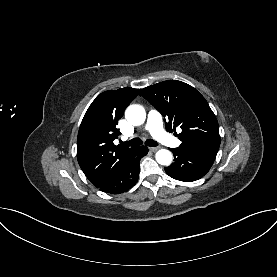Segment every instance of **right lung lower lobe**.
I'll return each instance as SVG.
<instances>
[{"label": "right lung lower lobe", "mask_w": 277, "mask_h": 277, "mask_svg": "<svg viewBox=\"0 0 277 277\" xmlns=\"http://www.w3.org/2000/svg\"><path fill=\"white\" fill-rule=\"evenodd\" d=\"M148 153L145 146L137 147L128 161L117 171V173L98 187L101 191L110 194H119L133 187L139 177V161Z\"/></svg>", "instance_id": "98d812e1"}]
</instances>
